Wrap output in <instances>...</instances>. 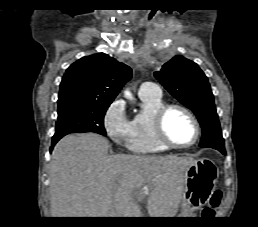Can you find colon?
Returning <instances> with one entry per match:
<instances>
[{"label":"colon","instance_id":"1","mask_svg":"<svg viewBox=\"0 0 258 227\" xmlns=\"http://www.w3.org/2000/svg\"><path fill=\"white\" fill-rule=\"evenodd\" d=\"M222 196L223 194L220 190H215L209 197L207 206L202 211L203 215H212L214 211L220 206Z\"/></svg>","mask_w":258,"mask_h":227}]
</instances>
